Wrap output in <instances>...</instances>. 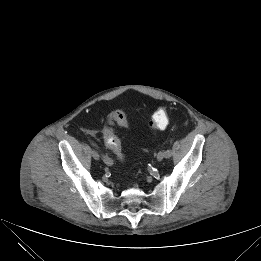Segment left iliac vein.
<instances>
[{
    "mask_svg": "<svg viewBox=\"0 0 261 261\" xmlns=\"http://www.w3.org/2000/svg\"><path fill=\"white\" fill-rule=\"evenodd\" d=\"M164 152L163 151H160L158 154H157V160L158 161H162L164 159Z\"/></svg>",
    "mask_w": 261,
    "mask_h": 261,
    "instance_id": "4c4485c4",
    "label": "left iliac vein"
}]
</instances>
